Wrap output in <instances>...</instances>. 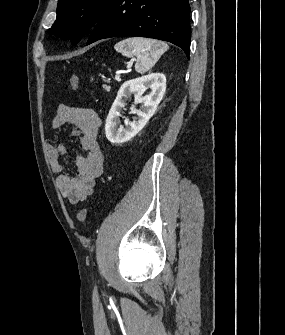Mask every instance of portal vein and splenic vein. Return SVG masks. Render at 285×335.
<instances>
[{
  "mask_svg": "<svg viewBox=\"0 0 285 335\" xmlns=\"http://www.w3.org/2000/svg\"><path fill=\"white\" fill-rule=\"evenodd\" d=\"M115 80H117V82H120V80H121L120 74H117V76H115Z\"/></svg>",
  "mask_w": 285,
  "mask_h": 335,
  "instance_id": "18ae733b",
  "label": "portal vein and splenic vein"
}]
</instances>
